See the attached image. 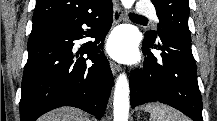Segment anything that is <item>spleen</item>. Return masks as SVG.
Returning a JSON list of instances; mask_svg holds the SVG:
<instances>
[{
	"instance_id": "3e777b00",
	"label": "spleen",
	"mask_w": 217,
	"mask_h": 121,
	"mask_svg": "<svg viewBox=\"0 0 217 121\" xmlns=\"http://www.w3.org/2000/svg\"><path fill=\"white\" fill-rule=\"evenodd\" d=\"M144 109L151 114V121H188L180 112L163 104H148Z\"/></svg>"
}]
</instances>
